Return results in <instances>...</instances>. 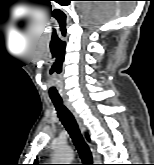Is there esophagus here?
Segmentation results:
<instances>
[{
	"mask_svg": "<svg viewBox=\"0 0 154 165\" xmlns=\"http://www.w3.org/2000/svg\"><path fill=\"white\" fill-rule=\"evenodd\" d=\"M64 101V105L68 108V110L72 113V115L74 116L79 128L81 129L82 132H86V127L83 123L82 118L79 116V114L76 112L75 108L70 104V102H68L66 99L63 100ZM90 148L91 151L93 153V157L94 160H97L98 155L96 152V148L93 144H90Z\"/></svg>",
	"mask_w": 154,
	"mask_h": 165,
	"instance_id": "1",
	"label": "esophagus"
}]
</instances>
